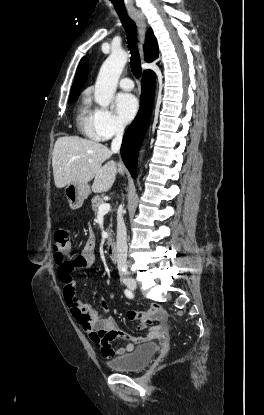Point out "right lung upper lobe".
Here are the masks:
<instances>
[{
	"mask_svg": "<svg viewBox=\"0 0 264 415\" xmlns=\"http://www.w3.org/2000/svg\"><path fill=\"white\" fill-rule=\"evenodd\" d=\"M144 55H145V60L147 62L153 61L159 55L157 40L153 34L152 29H148L146 33V40L144 44ZM87 69H88L87 60L85 57H83L79 63V66L75 74V80L70 91V97L75 96V95L77 96V94L79 93L82 85L85 82V79L87 76ZM148 72L154 73L151 70H147L144 73H148Z\"/></svg>",
	"mask_w": 264,
	"mask_h": 415,
	"instance_id": "right-lung-upper-lobe-1",
	"label": "right lung upper lobe"
}]
</instances>
